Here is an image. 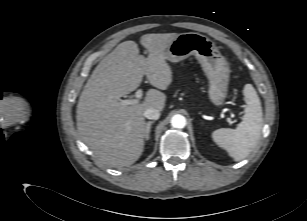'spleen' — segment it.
Returning <instances> with one entry per match:
<instances>
[{"mask_svg": "<svg viewBox=\"0 0 307 221\" xmlns=\"http://www.w3.org/2000/svg\"><path fill=\"white\" fill-rule=\"evenodd\" d=\"M246 102L245 114L236 129L221 128L213 131L212 139L235 160L245 159L257 146L263 125L260 99L251 84L243 90Z\"/></svg>", "mask_w": 307, "mask_h": 221, "instance_id": "3e777b00", "label": "spleen"}]
</instances>
